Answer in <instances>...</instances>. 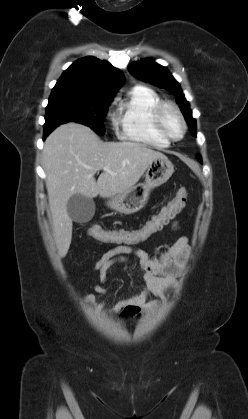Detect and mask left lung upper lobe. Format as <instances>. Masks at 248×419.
Segmentation results:
<instances>
[{
	"label": "left lung upper lobe",
	"mask_w": 248,
	"mask_h": 419,
	"mask_svg": "<svg viewBox=\"0 0 248 419\" xmlns=\"http://www.w3.org/2000/svg\"><path fill=\"white\" fill-rule=\"evenodd\" d=\"M128 70L135 77L175 94V99L181 108L189 126V130L193 136H196V121L192 117V111L189 108V103L186 101L179 83L174 79L166 67L155 63L152 59H145L129 66Z\"/></svg>",
	"instance_id": "1"
}]
</instances>
